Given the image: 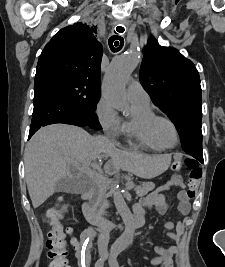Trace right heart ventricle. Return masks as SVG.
Here are the masks:
<instances>
[{"mask_svg": "<svg viewBox=\"0 0 225 267\" xmlns=\"http://www.w3.org/2000/svg\"><path fill=\"white\" fill-rule=\"evenodd\" d=\"M131 104V112L122 122V132L146 147L161 150L150 130V121L156 115L150 101L131 100Z\"/></svg>", "mask_w": 225, "mask_h": 267, "instance_id": "right-heart-ventricle-1", "label": "right heart ventricle"}]
</instances>
